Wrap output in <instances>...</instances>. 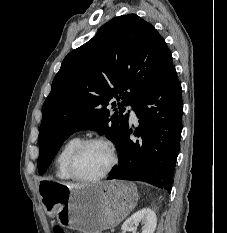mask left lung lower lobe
Instances as JSON below:
<instances>
[{"mask_svg":"<svg viewBox=\"0 0 227 233\" xmlns=\"http://www.w3.org/2000/svg\"><path fill=\"white\" fill-rule=\"evenodd\" d=\"M138 128L127 126L117 146L119 163L109 180H136L171 191L180 149L183 102L173 66L164 80L132 105ZM138 137L132 141L130 134Z\"/></svg>","mask_w":227,"mask_h":233,"instance_id":"1","label":"left lung lower lobe"}]
</instances>
